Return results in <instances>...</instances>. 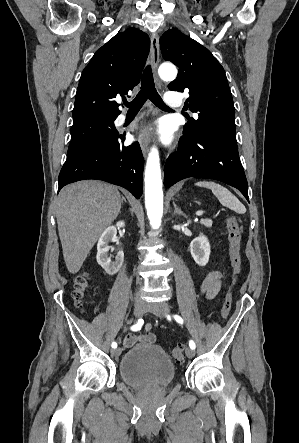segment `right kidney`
Masks as SVG:
<instances>
[{"label": "right kidney", "instance_id": "ca27d5eb", "mask_svg": "<svg viewBox=\"0 0 299 443\" xmlns=\"http://www.w3.org/2000/svg\"><path fill=\"white\" fill-rule=\"evenodd\" d=\"M125 226L124 221L117 222L116 226H110L104 230L100 236L97 244V262L109 275L116 274L124 261L123 251H119L115 261H111L108 256L110 250L109 242H113L116 239L117 228H123Z\"/></svg>", "mask_w": 299, "mask_h": 443}]
</instances>
